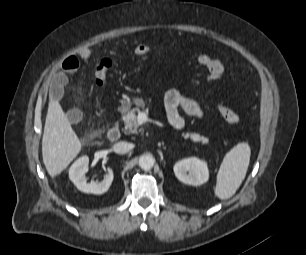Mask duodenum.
<instances>
[{
  "label": "duodenum",
  "mask_w": 306,
  "mask_h": 255,
  "mask_svg": "<svg viewBox=\"0 0 306 255\" xmlns=\"http://www.w3.org/2000/svg\"><path fill=\"white\" fill-rule=\"evenodd\" d=\"M121 136V132H120V128L118 126V124H113L107 133V137L110 141L115 142L117 141Z\"/></svg>",
  "instance_id": "1"
}]
</instances>
